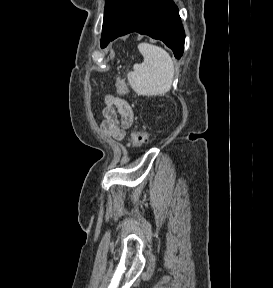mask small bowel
<instances>
[{
  "mask_svg": "<svg viewBox=\"0 0 273 288\" xmlns=\"http://www.w3.org/2000/svg\"><path fill=\"white\" fill-rule=\"evenodd\" d=\"M102 132L116 141H121L133 124L134 114L131 105L123 98L108 94L102 109Z\"/></svg>",
  "mask_w": 273,
  "mask_h": 288,
  "instance_id": "obj_1",
  "label": "small bowel"
}]
</instances>
